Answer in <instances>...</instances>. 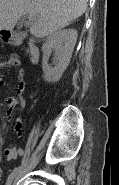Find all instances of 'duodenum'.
Segmentation results:
<instances>
[{
  "mask_svg": "<svg viewBox=\"0 0 119 185\" xmlns=\"http://www.w3.org/2000/svg\"><path fill=\"white\" fill-rule=\"evenodd\" d=\"M4 36L12 44H20L24 40V36L16 31H7ZM28 47L30 59L33 63H36L39 59V49L32 41H28Z\"/></svg>",
  "mask_w": 119,
  "mask_h": 185,
  "instance_id": "obj_1",
  "label": "duodenum"
}]
</instances>
